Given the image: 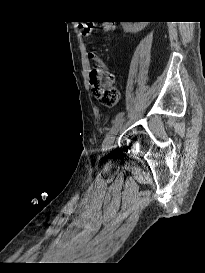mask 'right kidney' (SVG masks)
Returning a JSON list of instances; mask_svg holds the SVG:
<instances>
[{"instance_id":"obj_1","label":"right kidney","mask_w":205,"mask_h":273,"mask_svg":"<svg viewBox=\"0 0 205 273\" xmlns=\"http://www.w3.org/2000/svg\"><path fill=\"white\" fill-rule=\"evenodd\" d=\"M146 24L147 22H134L133 25L131 23L123 22L122 25L124 31L136 33L141 31L146 26Z\"/></svg>"}]
</instances>
